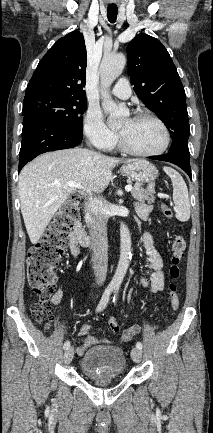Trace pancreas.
<instances>
[{
    "label": "pancreas",
    "mask_w": 213,
    "mask_h": 433,
    "mask_svg": "<svg viewBox=\"0 0 213 433\" xmlns=\"http://www.w3.org/2000/svg\"><path fill=\"white\" fill-rule=\"evenodd\" d=\"M154 183H151L148 185V187L145 189L141 186V184L136 183L133 186V189L131 191L133 198L140 202L147 201L148 203H154L155 202V189H154Z\"/></svg>",
    "instance_id": "obj_1"
}]
</instances>
